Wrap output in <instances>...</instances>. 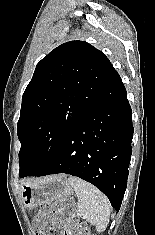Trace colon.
<instances>
[{
	"label": "colon",
	"mask_w": 155,
	"mask_h": 235,
	"mask_svg": "<svg viewBox=\"0 0 155 235\" xmlns=\"http://www.w3.org/2000/svg\"><path fill=\"white\" fill-rule=\"evenodd\" d=\"M60 224L64 230L60 231ZM36 235H91L83 221L74 217L71 200L65 199L42 206L35 218Z\"/></svg>",
	"instance_id": "1"
}]
</instances>
